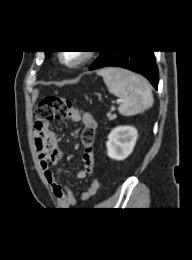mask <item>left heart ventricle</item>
I'll use <instances>...</instances> for the list:
<instances>
[{
	"label": "left heart ventricle",
	"mask_w": 192,
	"mask_h": 260,
	"mask_svg": "<svg viewBox=\"0 0 192 260\" xmlns=\"http://www.w3.org/2000/svg\"><path fill=\"white\" fill-rule=\"evenodd\" d=\"M79 52H66L65 59L68 61H74L78 58Z\"/></svg>",
	"instance_id": "left-heart-ventricle-1"
}]
</instances>
